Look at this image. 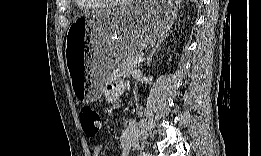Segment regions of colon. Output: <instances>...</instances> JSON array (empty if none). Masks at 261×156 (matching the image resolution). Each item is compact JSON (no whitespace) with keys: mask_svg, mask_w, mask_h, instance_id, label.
Segmentation results:
<instances>
[{"mask_svg":"<svg viewBox=\"0 0 261 156\" xmlns=\"http://www.w3.org/2000/svg\"><path fill=\"white\" fill-rule=\"evenodd\" d=\"M79 119L84 134L92 139L100 130L101 118L97 111L91 107L84 106L79 110Z\"/></svg>","mask_w":261,"mask_h":156,"instance_id":"5ec220e1","label":"colon"}]
</instances>
